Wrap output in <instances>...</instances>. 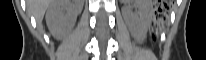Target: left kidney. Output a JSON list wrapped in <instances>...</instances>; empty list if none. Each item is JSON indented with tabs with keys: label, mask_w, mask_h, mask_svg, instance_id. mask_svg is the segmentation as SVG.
Returning a JSON list of instances; mask_svg holds the SVG:
<instances>
[{
	"label": "left kidney",
	"mask_w": 206,
	"mask_h": 60,
	"mask_svg": "<svg viewBox=\"0 0 206 60\" xmlns=\"http://www.w3.org/2000/svg\"><path fill=\"white\" fill-rule=\"evenodd\" d=\"M137 3L139 5L138 15H134L129 7L123 9V14L129 28L138 35H144L150 24L152 1L137 0Z\"/></svg>",
	"instance_id": "5707ae66"
}]
</instances>
